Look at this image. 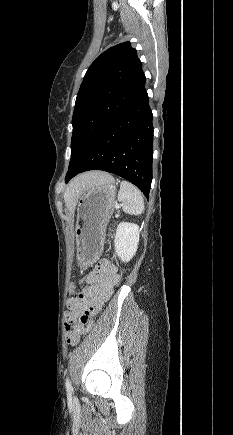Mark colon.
<instances>
[{"label":"colon","instance_id":"5ec220e1","mask_svg":"<svg viewBox=\"0 0 233 435\" xmlns=\"http://www.w3.org/2000/svg\"><path fill=\"white\" fill-rule=\"evenodd\" d=\"M74 292H75L74 289H70V293H74ZM66 332H67L68 340L69 341L73 340L74 337H73V333H72V328L69 326H66Z\"/></svg>","mask_w":233,"mask_h":435}]
</instances>
